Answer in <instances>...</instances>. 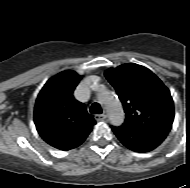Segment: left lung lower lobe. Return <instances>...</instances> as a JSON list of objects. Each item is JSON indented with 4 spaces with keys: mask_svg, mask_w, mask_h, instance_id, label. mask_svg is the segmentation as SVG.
<instances>
[{
    "mask_svg": "<svg viewBox=\"0 0 190 188\" xmlns=\"http://www.w3.org/2000/svg\"><path fill=\"white\" fill-rule=\"evenodd\" d=\"M118 139L129 149L145 152L158 146L166 137L167 133L141 130L123 124L112 127Z\"/></svg>",
    "mask_w": 190,
    "mask_h": 188,
    "instance_id": "left-lung-lower-lobe-1",
    "label": "left lung lower lobe"
}]
</instances>
